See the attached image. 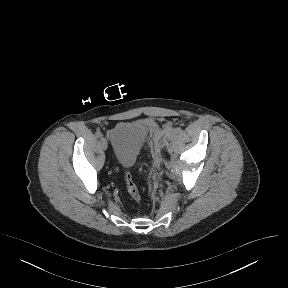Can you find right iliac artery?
Listing matches in <instances>:
<instances>
[{"label": "right iliac artery", "instance_id": "obj_1", "mask_svg": "<svg viewBox=\"0 0 288 288\" xmlns=\"http://www.w3.org/2000/svg\"><path fill=\"white\" fill-rule=\"evenodd\" d=\"M95 136H96L97 138H101V137H102V133L99 132V131H97V132L95 133Z\"/></svg>", "mask_w": 288, "mask_h": 288}]
</instances>
